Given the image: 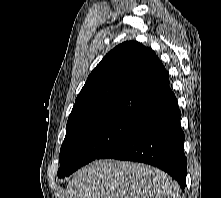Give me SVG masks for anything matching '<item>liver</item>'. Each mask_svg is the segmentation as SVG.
Segmentation results:
<instances>
[{"mask_svg": "<svg viewBox=\"0 0 221 198\" xmlns=\"http://www.w3.org/2000/svg\"><path fill=\"white\" fill-rule=\"evenodd\" d=\"M66 198H181L166 173L142 163L95 160L68 182Z\"/></svg>", "mask_w": 221, "mask_h": 198, "instance_id": "1", "label": "liver"}]
</instances>
